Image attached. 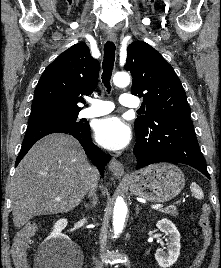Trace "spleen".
I'll return each mask as SVG.
<instances>
[{"mask_svg": "<svg viewBox=\"0 0 221 268\" xmlns=\"http://www.w3.org/2000/svg\"><path fill=\"white\" fill-rule=\"evenodd\" d=\"M190 189L197 199H203V191L195 182L191 183Z\"/></svg>", "mask_w": 221, "mask_h": 268, "instance_id": "1", "label": "spleen"}]
</instances>
